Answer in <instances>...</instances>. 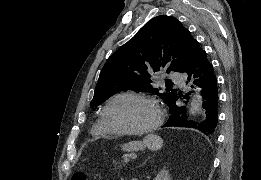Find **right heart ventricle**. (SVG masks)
<instances>
[{"label":"right heart ventricle","mask_w":261,"mask_h":180,"mask_svg":"<svg viewBox=\"0 0 261 180\" xmlns=\"http://www.w3.org/2000/svg\"><path fill=\"white\" fill-rule=\"evenodd\" d=\"M91 137L100 142H108L117 139V137L111 135L103 125L101 117H98L95 123L90 128Z\"/></svg>","instance_id":"obj_1"}]
</instances>
